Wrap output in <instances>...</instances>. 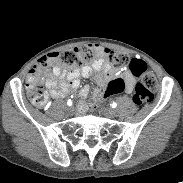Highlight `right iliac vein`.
<instances>
[{"label": "right iliac vein", "mask_w": 183, "mask_h": 183, "mask_svg": "<svg viewBox=\"0 0 183 183\" xmlns=\"http://www.w3.org/2000/svg\"><path fill=\"white\" fill-rule=\"evenodd\" d=\"M69 110H70V112H71V111H73V108H72V107H70V108H69Z\"/></svg>", "instance_id": "obj_1"}]
</instances>
